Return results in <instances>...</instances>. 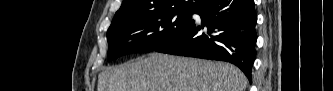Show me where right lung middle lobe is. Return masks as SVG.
<instances>
[{
	"label": "right lung middle lobe",
	"mask_w": 333,
	"mask_h": 91,
	"mask_svg": "<svg viewBox=\"0 0 333 91\" xmlns=\"http://www.w3.org/2000/svg\"><path fill=\"white\" fill-rule=\"evenodd\" d=\"M193 13L167 11L111 24L107 31L108 58L115 60L126 54L153 51L183 29Z\"/></svg>",
	"instance_id": "obj_1"
}]
</instances>
